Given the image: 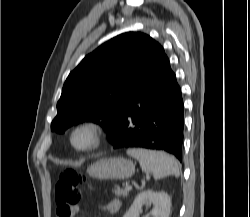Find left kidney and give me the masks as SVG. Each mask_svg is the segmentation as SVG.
Here are the masks:
<instances>
[{
  "instance_id": "5707ae66",
  "label": "left kidney",
  "mask_w": 250,
  "mask_h": 217,
  "mask_svg": "<svg viewBox=\"0 0 250 217\" xmlns=\"http://www.w3.org/2000/svg\"><path fill=\"white\" fill-rule=\"evenodd\" d=\"M144 204H153L151 212L153 217H169L171 208L170 196L163 191L154 192L152 190L139 193L123 217H139Z\"/></svg>"
}]
</instances>
